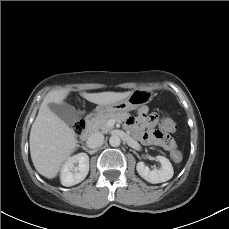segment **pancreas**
<instances>
[{
    "instance_id": "cf45deb5",
    "label": "pancreas",
    "mask_w": 229,
    "mask_h": 229,
    "mask_svg": "<svg viewBox=\"0 0 229 229\" xmlns=\"http://www.w3.org/2000/svg\"><path fill=\"white\" fill-rule=\"evenodd\" d=\"M127 113H117L112 115L100 116L93 123V128L95 130H101L103 133L109 132L113 129L112 126L108 125L109 120H115L117 122H121L126 119Z\"/></svg>"
}]
</instances>
